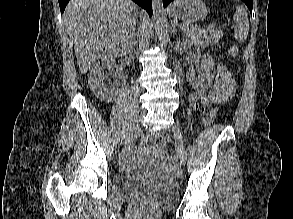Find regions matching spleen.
I'll return each instance as SVG.
<instances>
[{
	"mask_svg": "<svg viewBox=\"0 0 293 219\" xmlns=\"http://www.w3.org/2000/svg\"><path fill=\"white\" fill-rule=\"evenodd\" d=\"M235 23L234 36L239 42L246 40L249 32V19L246 10L242 6H237L233 16Z\"/></svg>",
	"mask_w": 293,
	"mask_h": 219,
	"instance_id": "1",
	"label": "spleen"
}]
</instances>
